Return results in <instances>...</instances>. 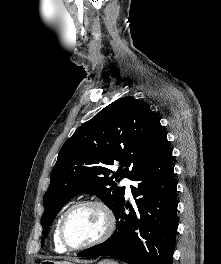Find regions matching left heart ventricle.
<instances>
[{"label": "left heart ventricle", "mask_w": 221, "mask_h": 264, "mask_svg": "<svg viewBox=\"0 0 221 264\" xmlns=\"http://www.w3.org/2000/svg\"><path fill=\"white\" fill-rule=\"evenodd\" d=\"M103 214L93 206L74 209L66 219L65 236L73 246L87 244L97 239L104 231Z\"/></svg>", "instance_id": "b2bd125f"}]
</instances>
